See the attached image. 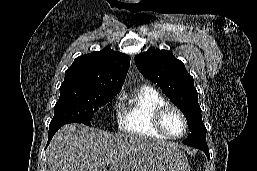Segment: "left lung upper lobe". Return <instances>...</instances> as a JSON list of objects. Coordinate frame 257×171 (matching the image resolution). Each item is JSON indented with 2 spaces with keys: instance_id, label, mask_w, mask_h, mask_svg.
Segmentation results:
<instances>
[{
  "instance_id": "left-lung-upper-lobe-1",
  "label": "left lung upper lobe",
  "mask_w": 257,
  "mask_h": 171,
  "mask_svg": "<svg viewBox=\"0 0 257 171\" xmlns=\"http://www.w3.org/2000/svg\"><path fill=\"white\" fill-rule=\"evenodd\" d=\"M136 66L142 75L157 83L165 95L184 113L190 133L184 144L207 145L206 128L198 104V93L193 77L184 64L170 51L150 49L135 57Z\"/></svg>"
}]
</instances>
